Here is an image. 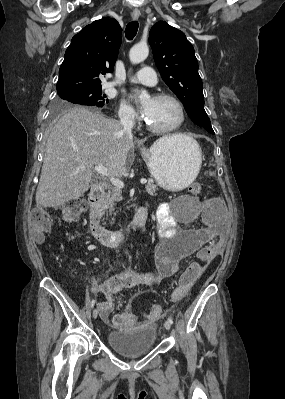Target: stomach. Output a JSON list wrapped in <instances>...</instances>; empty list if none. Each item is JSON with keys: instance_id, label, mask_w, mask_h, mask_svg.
Wrapping results in <instances>:
<instances>
[{"instance_id": "1", "label": "stomach", "mask_w": 285, "mask_h": 399, "mask_svg": "<svg viewBox=\"0 0 285 399\" xmlns=\"http://www.w3.org/2000/svg\"><path fill=\"white\" fill-rule=\"evenodd\" d=\"M142 154L157 184L169 191L188 187L196 179L202 164L198 143L184 135L161 138Z\"/></svg>"}]
</instances>
